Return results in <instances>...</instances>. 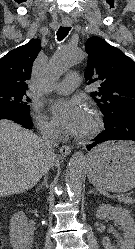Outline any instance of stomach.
<instances>
[{"instance_id": "0dacf381", "label": "stomach", "mask_w": 135, "mask_h": 249, "mask_svg": "<svg viewBox=\"0 0 135 249\" xmlns=\"http://www.w3.org/2000/svg\"><path fill=\"white\" fill-rule=\"evenodd\" d=\"M87 170L90 182L103 190L126 192L135 188V143L99 145L89 154Z\"/></svg>"}]
</instances>
